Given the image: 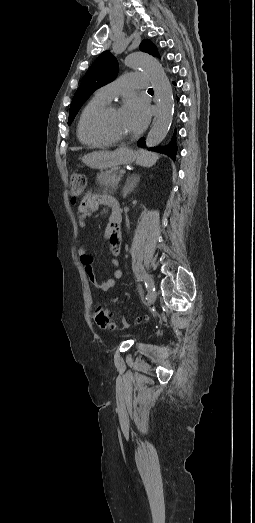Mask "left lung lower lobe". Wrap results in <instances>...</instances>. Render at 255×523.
Listing matches in <instances>:
<instances>
[{"label":"left lung lower lobe","mask_w":255,"mask_h":523,"mask_svg":"<svg viewBox=\"0 0 255 523\" xmlns=\"http://www.w3.org/2000/svg\"><path fill=\"white\" fill-rule=\"evenodd\" d=\"M174 88H177V82L176 80H173ZM173 134H178V129H173ZM143 140H146V137H143ZM142 139H139L137 141V144L141 149H144L146 147V144L144 143ZM157 145H160V142H157ZM157 152L159 154H168V158L171 162L178 161V154H177V140H175V137H171L169 141H167L166 147H159L157 149Z\"/></svg>","instance_id":"0a47b994"}]
</instances>
